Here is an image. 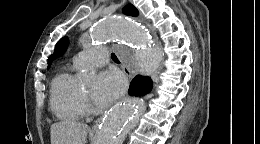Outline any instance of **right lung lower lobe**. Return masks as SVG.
Instances as JSON below:
<instances>
[{
  "label": "right lung lower lobe",
  "instance_id": "obj_1",
  "mask_svg": "<svg viewBox=\"0 0 260 144\" xmlns=\"http://www.w3.org/2000/svg\"><path fill=\"white\" fill-rule=\"evenodd\" d=\"M152 85L150 77L137 75L130 84L129 94L132 96L145 95L151 91Z\"/></svg>",
  "mask_w": 260,
  "mask_h": 144
}]
</instances>
